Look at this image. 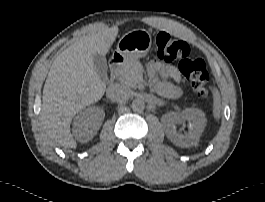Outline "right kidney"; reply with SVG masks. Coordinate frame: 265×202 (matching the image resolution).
Listing matches in <instances>:
<instances>
[{
  "instance_id": "ca27d5eb",
  "label": "right kidney",
  "mask_w": 265,
  "mask_h": 202,
  "mask_svg": "<svg viewBox=\"0 0 265 202\" xmlns=\"http://www.w3.org/2000/svg\"><path fill=\"white\" fill-rule=\"evenodd\" d=\"M105 117V112L97 106L81 111L74 119L73 134L82 143L90 141L99 130Z\"/></svg>"
}]
</instances>
